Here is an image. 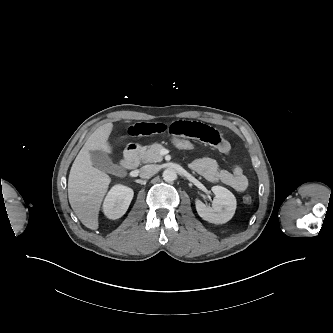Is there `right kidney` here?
<instances>
[{
    "label": "right kidney",
    "instance_id": "ca27d5eb",
    "mask_svg": "<svg viewBox=\"0 0 333 333\" xmlns=\"http://www.w3.org/2000/svg\"><path fill=\"white\" fill-rule=\"evenodd\" d=\"M134 192L131 188L123 185H115L105 198L103 203L104 214L109 219L122 217L133 198Z\"/></svg>",
    "mask_w": 333,
    "mask_h": 333
}]
</instances>
